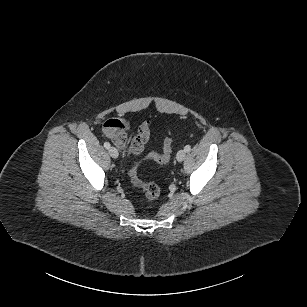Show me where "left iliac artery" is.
I'll return each mask as SVG.
<instances>
[{"label":"left iliac artery","mask_w":307,"mask_h":307,"mask_svg":"<svg viewBox=\"0 0 307 307\" xmlns=\"http://www.w3.org/2000/svg\"><path fill=\"white\" fill-rule=\"evenodd\" d=\"M184 150H185L186 152H189V151L191 150V146H190V145H186V146L184 147Z\"/></svg>","instance_id":"left-iliac-artery-1"}]
</instances>
